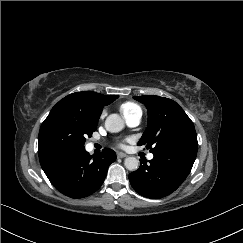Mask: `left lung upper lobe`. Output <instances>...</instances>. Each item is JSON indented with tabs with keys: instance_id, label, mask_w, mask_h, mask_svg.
Returning a JSON list of instances; mask_svg holds the SVG:
<instances>
[{
	"instance_id": "left-lung-upper-lobe-1",
	"label": "left lung upper lobe",
	"mask_w": 243,
	"mask_h": 243,
	"mask_svg": "<svg viewBox=\"0 0 243 243\" xmlns=\"http://www.w3.org/2000/svg\"><path fill=\"white\" fill-rule=\"evenodd\" d=\"M134 99L148 110V126L138 145H146L153 153L176 143L197 142L193 122L175 101L154 95Z\"/></svg>"
}]
</instances>
